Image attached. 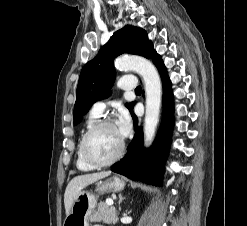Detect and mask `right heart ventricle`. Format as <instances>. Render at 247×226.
I'll return each instance as SVG.
<instances>
[{"mask_svg": "<svg viewBox=\"0 0 247 226\" xmlns=\"http://www.w3.org/2000/svg\"><path fill=\"white\" fill-rule=\"evenodd\" d=\"M98 117H99V115L91 112V114L89 115L88 119L86 120V122L84 124L83 130H82L80 138H79V142H78V146H77V152H76V165H77V168L81 171H90V170L94 169V167L89 165L88 163H86L82 157L81 141H82L84 134L87 132V130L97 122Z\"/></svg>", "mask_w": 247, "mask_h": 226, "instance_id": "right-heart-ventricle-1", "label": "right heart ventricle"}]
</instances>
